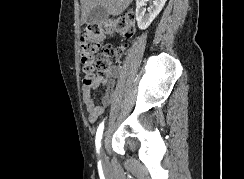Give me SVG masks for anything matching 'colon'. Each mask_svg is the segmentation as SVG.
<instances>
[{
    "mask_svg": "<svg viewBox=\"0 0 244 179\" xmlns=\"http://www.w3.org/2000/svg\"><path fill=\"white\" fill-rule=\"evenodd\" d=\"M132 22L129 19H113L99 22L98 26L87 24L81 30L79 51L81 55V70L84 73V84L96 87L103 84L110 59L123 55L124 48L113 45H102L106 34H130Z\"/></svg>",
    "mask_w": 244,
    "mask_h": 179,
    "instance_id": "1",
    "label": "colon"
}]
</instances>
